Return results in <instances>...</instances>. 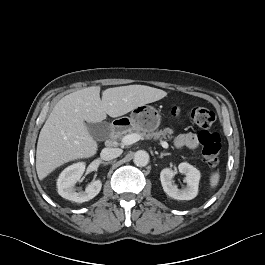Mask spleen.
Returning <instances> with one entry per match:
<instances>
[{
	"instance_id": "spleen-1",
	"label": "spleen",
	"mask_w": 265,
	"mask_h": 265,
	"mask_svg": "<svg viewBox=\"0 0 265 265\" xmlns=\"http://www.w3.org/2000/svg\"><path fill=\"white\" fill-rule=\"evenodd\" d=\"M219 180H220V174H219V172L212 173L211 176H210V179H209V181H210V188H212V189L215 188L218 185Z\"/></svg>"
}]
</instances>
